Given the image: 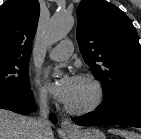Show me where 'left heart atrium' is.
Returning a JSON list of instances; mask_svg holds the SVG:
<instances>
[{
    "instance_id": "39dd6f15",
    "label": "left heart atrium",
    "mask_w": 141,
    "mask_h": 139,
    "mask_svg": "<svg viewBox=\"0 0 141 139\" xmlns=\"http://www.w3.org/2000/svg\"><path fill=\"white\" fill-rule=\"evenodd\" d=\"M44 77L47 81V88L59 101L67 103L72 89L75 78L67 73L59 76H54L50 71H45Z\"/></svg>"
}]
</instances>
